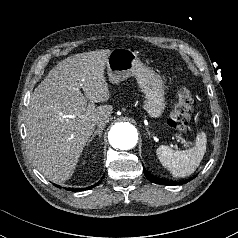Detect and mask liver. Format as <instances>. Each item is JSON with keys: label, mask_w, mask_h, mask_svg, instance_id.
Wrapping results in <instances>:
<instances>
[{"label": "liver", "mask_w": 238, "mask_h": 238, "mask_svg": "<svg viewBox=\"0 0 238 238\" xmlns=\"http://www.w3.org/2000/svg\"><path fill=\"white\" fill-rule=\"evenodd\" d=\"M110 52L96 50L64 59L31 96L27 147L36 168L52 182L70 179L97 122L111 116L110 105L91 111L87 106L88 101L106 102L110 98L104 76Z\"/></svg>", "instance_id": "liver-1"}]
</instances>
